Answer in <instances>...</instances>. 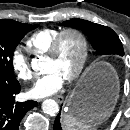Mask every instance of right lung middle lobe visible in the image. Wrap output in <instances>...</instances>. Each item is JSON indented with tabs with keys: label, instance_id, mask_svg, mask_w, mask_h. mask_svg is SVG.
Segmentation results:
<instances>
[{
	"label": "right lung middle lobe",
	"instance_id": "1",
	"mask_svg": "<svg viewBox=\"0 0 130 130\" xmlns=\"http://www.w3.org/2000/svg\"><path fill=\"white\" fill-rule=\"evenodd\" d=\"M37 25L0 22V76L17 80L13 71V52L21 39Z\"/></svg>",
	"mask_w": 130,
	"mask_h": 130
}]
</instances>
